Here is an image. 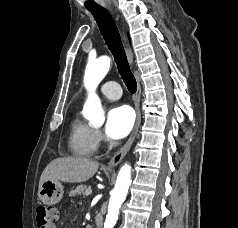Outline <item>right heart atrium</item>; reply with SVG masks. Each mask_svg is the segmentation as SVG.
Listing matches in <instances>:
<instances>
[{"instance_id":"right-heart-atrium-1","label":"right heart atrium","mask_w":238,"mask_h":228,"mask_svg":"<svg viewBox=\"0 0 238 228\" xmlns=\"http://www.w3.org/2000/svg\"><path fill=\"white\" fill-rule=\"evenodd\" d=\"M95 138L98 143H100L103 140V136L99 130H95Z\"/></svg>"}]
</instances>
